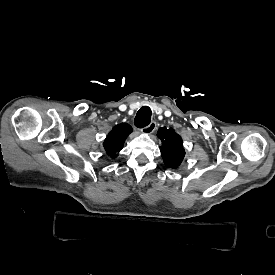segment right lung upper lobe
Wrapping results in <instances>:
<instances>
[{
	"instance_id": "1",
	"label": "right lung upper lobe",
	"mask_w": 275,
	"mask_h": 275,
	"mask_svg": "<svg viewBox=\"0 0 275 275\" xmlns=\"http://www.w3.org/2000/svg\"><path fill=\"white\" fill-rule=\"evenodd\" d=\"M131 132L132 128L127 123L114 126L103 143L107 156L114 159L123 148L124 142Z\"/></svg>"
}]
</instances>
